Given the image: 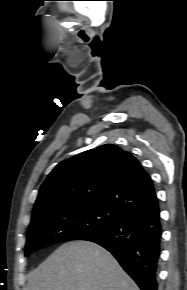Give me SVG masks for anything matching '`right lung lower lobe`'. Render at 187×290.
<instances>
[{"label":"right lung lower lobe","instance_id":"98d812e1","mask_svg":"<svg viewBox=\"0 0 187 290\" xmlns=\"http://www.w3.org/2000/svg\"><path fill=\"white\" fill-rule=\"evenodd\" d=\"M84 240L110 251L141 290H157L162 240L159 208L128 214L117 225Z\"/></svg>","mask_w":187,"mask_h":290}]
</instances>
